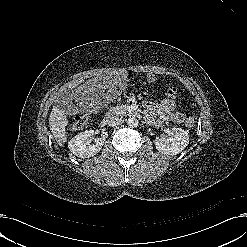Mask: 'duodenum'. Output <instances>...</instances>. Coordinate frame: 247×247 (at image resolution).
I'll return each mask as SVG.
<instances>
[{"mask_svg":"<svg viewBox=\"0 0 247 247\" xmlns=\"http://www.w3.org/2000/svg\"><path fill=\"white\" fill-rule=\"evenodd\" d=\"M144 106H145V104H144ZM112 119H113L112 116H106V117L102 120L101 126H102V127L107 126V125L112 121Z\"/></svg>","mask_w":247,"mask_h":247,"instance_id":"410a0bca","label":"duodenum"}]
</instances>
